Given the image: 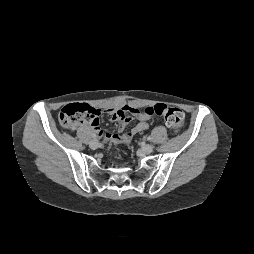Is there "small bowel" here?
<instances>
[{"label":"small bowel","mask_w":254,"mask_h":254,"mask_svg":"<svg viewBox=\"0 0 254 254\" xmlns=\"http://www.w3.org/2000/svg\"><path fill=\"white\" fill-rule=\"evenodd\" d=\"M99 114L101 111L97 109ZM106 114L110 115L111 120L117 122L118 133L104 132L100 128L99 118L90 124L91 128L107 142L119 143L122 138L130 142L134 135L145 131L149 127L150 116L146 115L136 106L128 105L124 101H119L116 105L105 109ZM137 119L138 123L128 132L124 129L133 119Z\"/></svg>","instance_id":"small-bowel-1"}]
</instances>
